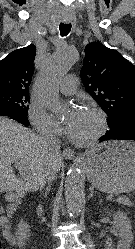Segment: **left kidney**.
<instances>
[{
	"mask_svg": "<svg viewBox=\"0 0 135 249\" xmlns=\"http://www.w3.org/2000/svg\"><path fill=\"white\" fill-rule=\"evenodd\" d=\"M113 223L116 230L119 232L120 241L116 249H130L133 234L131 228V222L126 214L117 212L113 214ZM106 249H114L111 240H107L105 243Z\"/></svg>",
	"mask_w": 135,
	"mask_h": 249,
	"instance_id": "5707ae66",
	"label": "left kidney"
}]
</instances>
